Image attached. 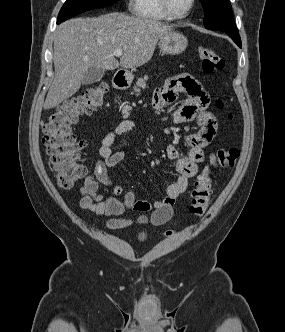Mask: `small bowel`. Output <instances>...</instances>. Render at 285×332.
<instances>
[{
	"label": "small bowel",
	"instance_id": "small-bowel-1",
	"mask_svg": "<svg viewBox=\"0 0 285 332\" xmlns=\"http://www.w3.org/2000/svg\"><path fill=\"white\" fill-rule=\"evenodd\" d=\"M180 93L187 97L174 112L173 121L175 123H188L196 120L199 129L184 138L188 147L187 155L180 156L174 145L166 147L167 157L176 160L178 173L176 180L168 186L166 196L162 200L154 202L137 200L131 190L123 194V188L115 184L110 178L109 170L126 156L124 149L113 151L112 146L117 137L132 131L135 127L134 121L127 119L121 121L102 139L99 148L101 159L95 166L94 175L87 176L80 188V206L82 209L113 217L108 224L114 228L128 225L127 220L119 218L125 210L140 213L150 212L149 215L141 216L139 221L154 226L163 225L171 219L176 199L187 191L189 179L196 174L198 165L203 162L204 149L215 138L218 128L216 117L208 110L210 95L201 83L188 73L169 78L162 88L155 91L152 105L155 109H163L173 103ZM99 185L110 188L114 197L105 198L98 192ZM122 194L123 198H118Z\"/></svg>",
	"mask_w": 285,
	"mask_h": 332
}]
</instances>
